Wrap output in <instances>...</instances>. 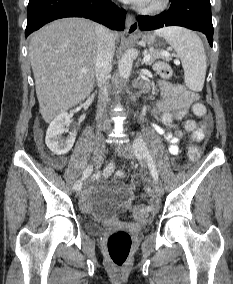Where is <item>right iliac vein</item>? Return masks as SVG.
<instances>
[{
    "label": "right iliac vein",
    "instance_id": "63e3f726",
    "mask_svg": "<svg viewBox=\"0 0 233 284\" xmlns=\"http://www.w3.org/2000/svg\"><path fill=\"white\" fill-rule=\"evenodd\" d=\"M105 151V142L104 139L101 137H98L95 140L94 143V155H93V161L95 165H99L102 159V156ZM83 191L82 187H79L78 189L75 190V193L77 196H79Z\"/></svg>",
    "mask_w": 233,
    "mask_h": 284
}]
</instances>
